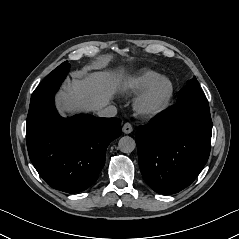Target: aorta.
Listing matches in <instances>:
<instances>
[{
  "label": "aorta",
  "instance_id": "1",
  "mask_svg": "<svg viewBox=\"0 0 239 239\" xmlns=\"http://www.w3.org/2000/svg\"><path fill=\"white\" fill-rule=\"evenodd\" d=\"M136 147V142L132 137L123 136L119 139L118 148L123 153H131Z\"/></svg>",
  "mask_w": 239,
  "mask_h": 239
}]
</instances>
